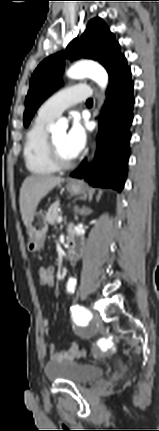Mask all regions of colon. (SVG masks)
<instances>
[{
    "instance_id": "5ec220e1",
    "label": "colon",
    "mask_w": 159,
    "mask_h": 431,
    "mask_svg": "<svg viewBox=\"0 0 159 431\" xmlns=\"http://www.w3.org/2000/svg\"><path fill=\"white\" fill-rule=\"evenodd\" d=\"M47 268H50V271H47V273H49V276H47V277H49V288L51 290H54L57 287V284H56L57 279H56V277H54V275H55L54 271L56 270L55 263L49 262L47 265ZM86 353L87 352L85 351V348L81 347V358H85Z\"/></svg>"
}]
</instances>
